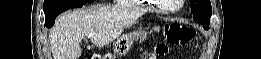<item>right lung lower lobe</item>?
<instances>
[{"instance_id":"1","label":"right lung lower lobe","mask_w":261,"mask_h":59,"mask_svg":"<svg viewBox=\"0 0 261 59\" xmlns=\"http://www.w3.org/2000/svg\"><path fill=\"white\" fill-rule=\"evenodd\" d=\"M82 6H83L82 4H72V5H68V6H65L64 8L60 9V10L57 11L56 13H53V14H51L50 16H46V17H45V26L48 27V28L52 27V26L54 25V23H55L56 17H57L60 13L66 11V10H68V9H71V8H78V7H82Z\"/></svg>"}]
</instances>
